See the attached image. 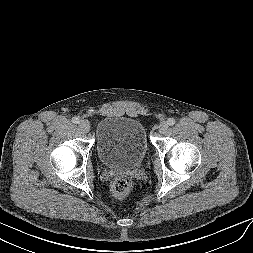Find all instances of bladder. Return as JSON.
Listing matches in <instances>:
<instances>
[{
    "mask_svg": "<svg viewBox=\"0 0 253 253\" xmlns=\"http://www.w3.org/2000/svg\"><path fill=\"white\" fill-rule=\"evenodd\" d=\"M95 140L97 156L106 167L139 166L148 151L146 128L132 118H102L95 128Z\"/></svg>",
    "mask_w": 253,
    "mask_h": 253,
    "instance_id": "1",
    "label": "bladder"
}]
</instances>
